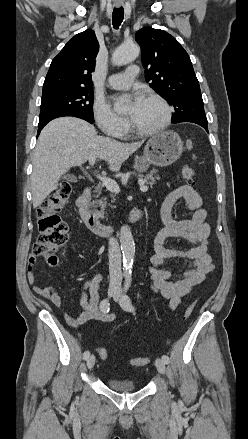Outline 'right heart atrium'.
Returning <instances> with one entry per match:
<instances>
[{
	"mask_svg": "<svg viewBox=\"0 0 248 439\" xmlns=\"http://www.w3.org/2000/svg\"><path fill=\"white\" fill-rule=\"evenodd\" d=\"M93 115L97 126L107 136L120 137L127 128V120L116 114L102 99L95 101Z\"/></svg>",
	"mask_w": 248,
	"mask_h": 439,
	"instance_id": "d8ad5b80",
	"label": "right heart atrium"
}]
</instances>
